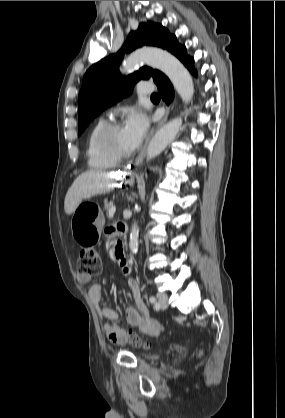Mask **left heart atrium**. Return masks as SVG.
<instances>
[{
    "instance_id": "39dd6f15",
    "label": "left heart atrium",
    "mask_w": 285,
    "mask_h": 418,
    "mask_svg": "<svg viewBox=\"0 0 285 418\" xmlns=\"http://www.w3.org/2000/svg\"><path fill=\"white\" fill-rule=\"evenodd\" d=\"M149 128L148 117L139 110L131 111L124 124V129L127 132L132 146H137Z\"/></svg>"
}]
</instances>
